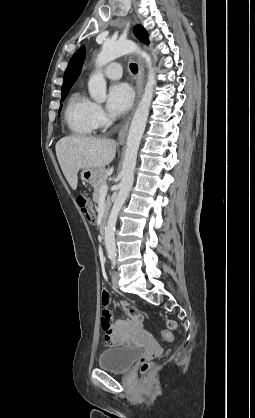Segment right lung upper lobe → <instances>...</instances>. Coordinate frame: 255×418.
Listing matches in <instances>:
<instances>
[{
	"label": "right lung upper lobe",
	"mask_w": 255,
	"mask_h": 418,
	"mask_svg": "<svg viewBox=\"0 0 255 418\" xmlns=\"http://www.w3.org/2000/svg\"><path fill=\"white\" fill-rule=\"evenodd\" d=\"M85 58V47L82 46L70 59L64 74L62 91L70 89L81 72L83 61Z\"/></svg>",
	"instance_id": "cb5924a9"
}]
</instances>
